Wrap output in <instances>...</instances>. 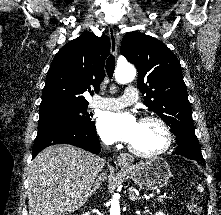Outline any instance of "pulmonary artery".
<instances>
[{
	"mask_svg": "<svg viewBox=\"0 0 221 215\" xmlns=\"http://www.w3.org/2000/svg\"><path fill=\"white\" fill-rule=\"evenodd\" d=\"M137 99V89L133 86H129L125 89L124 94L118 98H96L92 102V107L100 109H119L136 102Z\"/></svg>",
	"mask_w": 221,
	"mask_h": 215,
	"instance_id": "1",
	"label": "pulmonary artery"
}]
</instances>
